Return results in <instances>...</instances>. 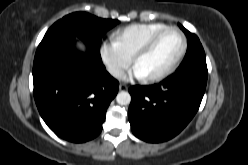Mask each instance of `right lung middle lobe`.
<instances>
[{
	"instance_id": "right-lung-middle-lobe-1",
	"label": "right lung middle lobe",
	"mask_w": 248,
	"mask_h": 165,
	"mask_svg": "<svg viewBox=\"0 0 248 165\" xmlns=\"http://www.w3.org/2000/svg\"><path fill=\"white\" fill-rule=\"evenodd\" d=\"M118 23V20L102 19L85 12H75L55 22L46 32L39 46L55 40L77 37L100 55L102 36Z\"/></svg>"
}]
</instances>
